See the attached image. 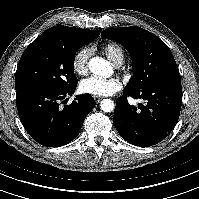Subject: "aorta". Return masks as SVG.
<instances>
[{"label": "aorta", "mask_w": 199, "mask_h": 199, "mask_svg": "<svg viewBox=\"0 0 199 199\" xmlns=\"http://www.w3.org/2000/svg\"><path fill=\"white\" fill-rule=\"evenodd\" d=\"M88 67L93 74L98 76L106 77L111 72L108 61L101 57L92 58L88 63ZM100 106L104 112H111L115 108L114 102L111 99H104L101 101Z\"/></svg>", "instance_id": "762f6f07"}]
</instances>
